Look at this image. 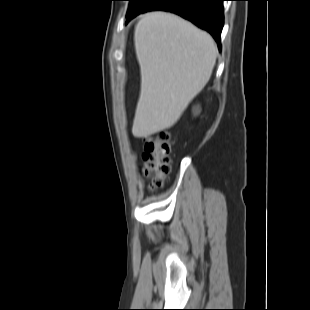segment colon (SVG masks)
<instances>
[{"label": "colon", "instance_id": "5ec220e1", "mask_svg": "<svg viewBox=\"0 0 310 310\" xmlns=\"http://www.w3.org/2000/svg\"><path fill=\"white\" fill-rule=\"evenodd\" d=\"M170 136L166 131L144 138L142 159L144 174L149 179L151 190L162 187L170 171Z\"/></svg>", "mask_w": 310, "mask_h": 310}]
</instances>
